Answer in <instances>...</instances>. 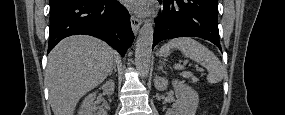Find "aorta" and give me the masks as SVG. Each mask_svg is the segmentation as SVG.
Masks as SVG:
<instances>
[{"instance_id":"obj_1","label":"aorta","mask_w":285,"mask_h":115,"mask_svg":"<svg viewBox=\"0 0 285 115\" xmlns=\"http://www.w3.org/2000/svg\"><path fill=\"white\" fill-rule=\"evenodd\" d=\"M153 34V24L151 20H146L140 29L135 48V64L142 77L149 73Z\"/></svg>"}]
</instances>
